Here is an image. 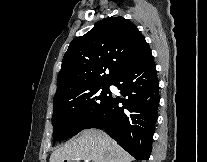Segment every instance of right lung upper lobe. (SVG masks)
<instances>
[{
	"instance_id": "obj_1",
	"label": "right lung upper lobe",
	"mask_w": 207,
	"mask_h": 162,
	"mask_svg": "<svg viewBox=\"0 0 207 162\" xmlns=\"http://www.w3.org/2000/svg\"><path fill=\"white\" fill-rule=\"evenodd\" d=\"M151 56L144 36L132 22L123 17L99 21L69 45L54 99L112 84L124 70Z\"/></svg>"
}]
</instances>
